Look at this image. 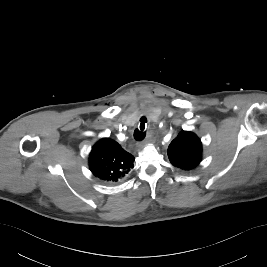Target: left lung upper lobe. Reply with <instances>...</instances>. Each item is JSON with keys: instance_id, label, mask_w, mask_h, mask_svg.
<instances>
[{"instance_id": "obj_1", "label": "left lung upper lobe", "mask_w": 267, "mask_h": 267, "mask_svg": "<svg viewBox=\"0 0 267 267\" xmlns=\"http://www.w3.org/2000/svg\"><path fill=\"white\" fill-rule=\"evenodd\" d=\"M202 144L192 132L181 131L168 147V157L173 166L189 171L201 162Z\"/></svg>"}]
</instances>
